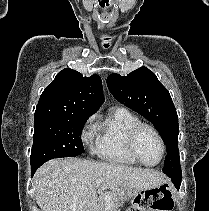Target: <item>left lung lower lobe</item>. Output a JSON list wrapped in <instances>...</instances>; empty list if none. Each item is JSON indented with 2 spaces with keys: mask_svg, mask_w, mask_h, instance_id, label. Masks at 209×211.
Instances as JSON below:
<instances>
[{
  "mask_svg": "<svg viewBox=\"0 0 209 211\" xmlns=\"http://www.w3.org/2000/svg\"><path fill=\"white\" fill-rule=\"evenodd\" d=\"M168 177L171 178L172 182L176 186L177 189H179L181 184V173L178 174H166Z\"/></svg>",
  "mask_w": 209,
  "mask_h": 211,
  "instance_id": "1",
  "label": "left lung lower lobe"
}]
</instances>
